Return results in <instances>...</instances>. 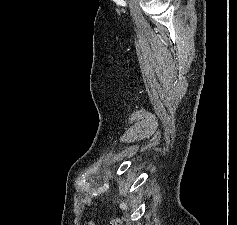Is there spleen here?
Instances as JSON below:
<instances>
[{
    "label": "spleen",
    "mask_w": 237,
    "mask_h": 225,
    "mask_svg": "<svg viewBox=\"0 0 237 225\" xmlns=\"http://www.w3.org/2000/svg\"><path fill=\"white\" fill-rule=\"evenodd\" d=\"M120 208H121L122 210H126V209L128 208L127 203L121 202Z\"/></svg>",
    "instance_id": "3e777b00"
}]
</instances>
